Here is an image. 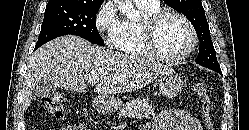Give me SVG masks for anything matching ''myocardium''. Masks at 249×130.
Returning a JSON list of instances; mask_svg holds the SVG:
<instances>
[{"label": "myocardium", "instance_id": "1", "mask_svg": "<svg viewBox=\"0 0 249 130\" xmlns=\"http://www.w3.org/2000/svg\"><path fill=\"white\" fill-rule=\"evenodd\" d=\"M169 16L179 18L183 21L190 33V43L187 49L176 56L167 55L161 51L156 40L158 26L166 17ZM142 35L145 47L150 55L169 63H178L187 59L192 54L198 43L197 32L190 19L183 13L171 9H159L158 11L147 15L142 21Z\"/></svg>", "mask_w": 249, "mask_h": 130}]
</instances>
